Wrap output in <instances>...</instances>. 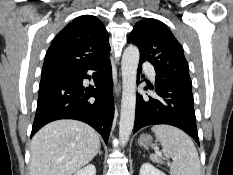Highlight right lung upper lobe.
I'll list each match as a JSON object with an SVG mask.
<instances>
[{"label": "right lung upper lobe", "instance_id": "right-lung-upper-lobe-1", "mask_svg": "<svg viewBox=\"0 0 233 175\" xmlns=\"http://www.w3.org/2000/svg\"><path fill=\"white\" fill-rule=\"evenodd\" d=\"M109 53V37L102 22L92 15L77 17L52 41L41 80L68 74L102 60Z\"/></svg>", "mask_w": 233, "mask_h": 175}]
</instances>
